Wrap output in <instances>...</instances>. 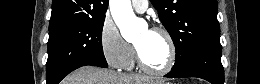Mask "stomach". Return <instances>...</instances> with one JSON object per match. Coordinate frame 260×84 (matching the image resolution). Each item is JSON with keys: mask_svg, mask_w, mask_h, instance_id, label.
<instances>
[{"mask_svg": "<svg viewBox=\"0 0 260 84\" xmlns=\"http://www.w3.org/2000/svg\"><path fill=\"white\" fill-rule=\"evenodd\" d=\"M163 84H171V83H163Z\"/></svg>", "mask_w": 260, "mask_h": 84, "instance_id": "stomach-1", "label": "stomach"}]
</instances>
